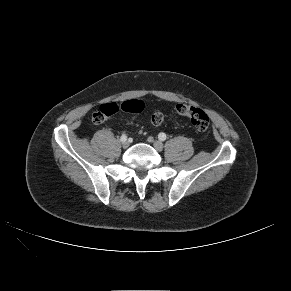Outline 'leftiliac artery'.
Returning <instances> with one entry per match:
<instances>
[{
  "label": "left iliac artery",
  "instance_id": "1",
  "mask_svg": "<svg viewBox=\"0 0 291 291\" xmlns=\"http://www.w3.org/2000/svg\"><path fill=\"white\" fill-rule=\"evenodd\" d=\"M158 138H159V140H161V141H165L166 140V134L165 133H160L159 135H158Z\"/></svg>",
  "mask_w": 291,
  "mask_h": 291
}]
</instances>
